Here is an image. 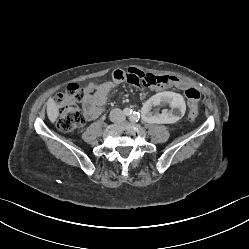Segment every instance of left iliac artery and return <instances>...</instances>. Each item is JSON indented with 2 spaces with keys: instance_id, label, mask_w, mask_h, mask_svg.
Returning a JSON list of instances; mask_svg holds the SVG:
<instances>
[{
  "instance_id": "obj_1",
  "label": "left iliac artery",
  "mask_w": 249,
  "mask_h": 249,
  "mask_svg": "<svg viewBox=\"0 0 249 249\" xmlns=\"http://www.w3.org/2000/svg\"><path fill=\"white\" fill-rule=\"evenodd\" d=\"M140 117V114L138 112H133L131 116V121L137 122Z\"/></svg>"
}]
</instances>
